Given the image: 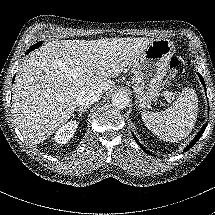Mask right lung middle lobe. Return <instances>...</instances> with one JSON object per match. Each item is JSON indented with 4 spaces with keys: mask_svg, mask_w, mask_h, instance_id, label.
<instances>
[{
    "mask_svg": "<svg viewBox=\"0 0 215 215\" xmlns=\"http://www.w3.org/2000/svg\"><path fill=\"white\" fill-rule=\"evenodd\" d=\"M41 44H42V41H41V42H38V43H36V44H34V45H32V46L29 48L28 52H31L32 50L37 49L38 47L41 46Z\"/></svg>",
    "mask_w": 215,
    "mask_h": 215,
    "instance_id": "obj_1",
    "label": "right lung middle lobe"
}]
</instances>
